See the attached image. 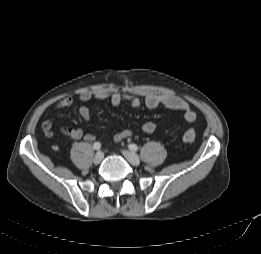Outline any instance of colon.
<instances>
[{
  "label": "colon",
  "mask_w": 261,
  "mask_h": 254,
  "mask_svg": "<svg viewBox=\"0 0 261 254\" xmlns=\"http://www.w3.org/2000/svg\"><path fill=\"white\" fill-rule=\"evenodd\" d=\"M195 138H196V134L195 131L192 129H188L183 135V140L187 144H192L195 141Z\"/></svg>",
  "instance_id": "colon-1"
}]
</instances>
